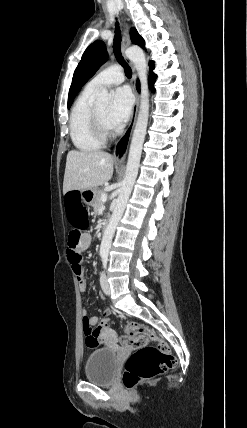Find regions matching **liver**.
Wrapping results in <instances>:
<instances>
[{"label":"liver","mask_w":247,"mask_h":428,"mask_svg":"<svg viewBox=\"0 0 247 428\" xmlns=\"http://www.w3.org/2000/svg\"><path fill=\"white\" fill-rule=\"evenodd\" d=\"M113 174V157L103 151L68 152L63 181V193L97 188Z\"/></svg>","instance_id":"liver-1"}]
</instances>
